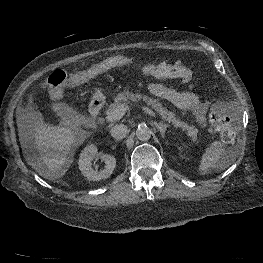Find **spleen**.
<instances>
[{
    "label": "spleen",
    "instance_id": "3e777b00",
    "mask_svg": "<svg viewBox=\"0 0 263 263\" xmlns=\"http://www.w3.org/2000/svg\"><path fill=\"white\" fill-rule=\"evenodd\" d=\"M234 162L233 151L220 141H214L201 157L198 171L203 174L209 168L223 170Z\"/></svg>",
    "mask_w": 263,
    "mask_h": 263
}]
</instances>
